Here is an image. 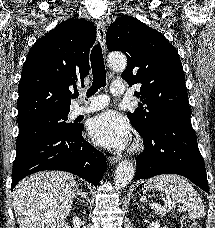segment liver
<instances>
[{
    "instance_id": "1",
    "label": "liver",
    "mask_w": 215,
    "mask_h": 228,
    "mask_svg": "<svg viewBox=\"0 0 215 228\" xmlns=\"http://www.w3.org/2000/svg\"><path fill=\"white\" fill-rule=\"evenodd\" d=\"M76 194L68 172H37L21 180L12 192L19 228H62Z\"/></svg>"
}]
</instances>
